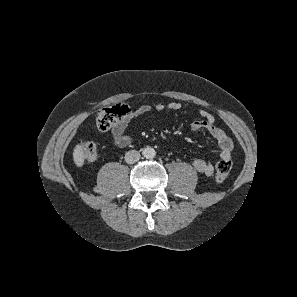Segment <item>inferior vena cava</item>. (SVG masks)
<instances>
[{
	"label": "inferior vena cava",
	"instance_id": "obj_1",
	"mask_svg": "<svg viewBox=\"0 0 297 297\" xmlns=\"http://www.w3.org/2000/svg\"><path fill=\"white\" fill-rule=\"evenodd\" d=\"M140 153L136 150H130L125 154V161L128 164H133L140 159Z\"/></svg>",
	"mask_w": 297,
	"mask_h": 297
}]
</instances>
